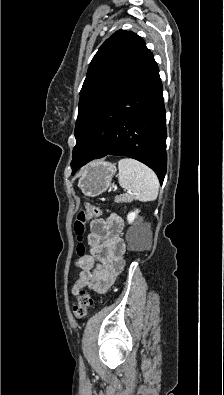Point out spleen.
<instances>
[{"label":"spleen","instance_id":"obj_1","mask_svg":"<svg viewBox=\"0 0 224 395\" xmlns=\"http://www.w3.org/2000/svg\"><path fill=\"white\" fill-rule=\"evenodd\" d=\"M118 169L120 186L132 191L135 199L148 202L157 198L159 180L149 167L135 159L123 158L118 162Z\"/></svg>","mask_w":224,"mask_h":395}]
</instances>
